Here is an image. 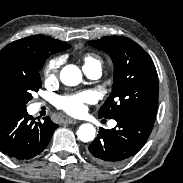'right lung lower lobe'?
<instances>
[{"label":"right lung lower lobe","instance_id":"right-lung-lower-lobe-1","mask_svg":"<svg viewBox=\"0 0 183 183\" xmlns=\"http://www.w3.org/2000/svg\"><path fill=\"white\" fill-rule=\"evenodd\" d=\"M35 121L26 109L10 110L0 116V151L13 159H30L48 145L57 124L45 117Z\"/></svg>","mask_w":183,"mask_h":183}]
</instances>
